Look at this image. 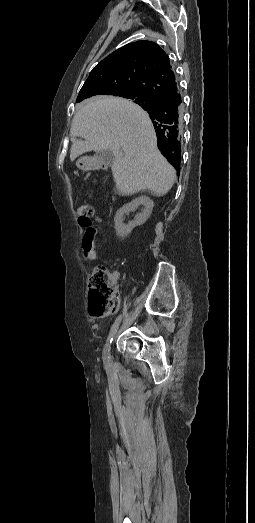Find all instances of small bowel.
Listing matches in <instances>:
<instances>
[{
	"label": "small bowel",
	"instance_id": "c3829d8e",
	"mask_svg": "<svg viewBox=\"0 0 255 523\" xmlns=\"http://www.w3.org/2000/svg\"><path fill=\"white\" fill-rule=\"evenodd\" d=\"M96 220L99 222L103 221V219L101 217H97ZM97 233H98L97 229L94 226L90 225L85 229V232L83 235L82 254H83L84 258L89 261H94L97 258V254H96V250H95ZM113 277H114L115 282L117 283L120 278V274L118 272H114Z\"/></svg>",
	"mask_w": 255,
	"mask_h": 523
}]
</instances>
